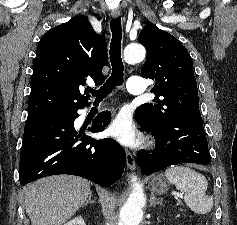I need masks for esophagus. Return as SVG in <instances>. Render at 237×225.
Instances as JSON below:
<instances>
[{
    "label": "esophagus",
    "instance_id": "esophagus-1",
    "mask_svg": "<svg viewBox=\"0 0 237 225\" xmlns=\"http://www.w3.org/2000/svg\"><path fill=\"white\" fill-rule=\"evenodd\" d=\"M111 16L113 18L119 17L120 16V11L119 10H112L111 11ZM125 155H126V164H127L128 168L130 170L134 171L136 169V162H135V159H134L133 155L128 150L125 151Z\"/></svg>",
    "mask_w": 237,
    "mask_h": 225
}]
</instances>
